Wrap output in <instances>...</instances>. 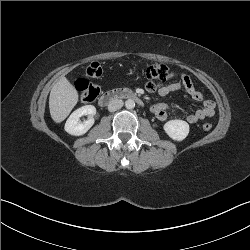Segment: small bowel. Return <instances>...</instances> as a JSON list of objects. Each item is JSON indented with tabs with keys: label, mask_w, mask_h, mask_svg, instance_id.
Returning <instances> with one entry per match:
<instances>
[{
	"label": "small bowel",
	"mask_w": 250,
	"mask_h": 250,
	"mask_svg": "<svg viewBox=\"0 0 250 250\" xmlns=\"http://www.w3.org/2000/svg\"><path fill=\"white\" fill-rule=\"evenodd\" d=\"M177 74L171 73L165 75L166 81L176 80ZM165 80H160L159 84H156L153 80H148L145 83V88L149 92H156L158 95L164 97L170 93L179 91L183 89L193 100L202 102L203 107L196 110L192 114H188L185 117V120L194 124L205 118H210L215 114V103L212 100H205L203 94L196 89L192 80L189 76L183 74L181 75L180 81L171 82L166 84ZM152 113L160 121H165L168 117L169 112H174L175 109L166 103H158L151 107Z\"/></svg>",
	"instance_id": "c3829d8e"
}]
</instances>
